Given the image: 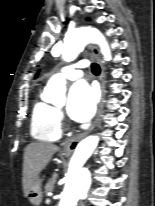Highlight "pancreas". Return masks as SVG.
I'll use <instances>...</instances> for the list:
<instances>
[{"mask_svg": "<svg viewBox=\"0 0 155 206\" xmlns=\"http://www.w3.org/2000/svg\"><path fill=\"white\" fill-rule=\"evenodd\" d=\"M55 182H56V176L51 177L46 183L45 191L46 192L52 191L54 189Z\"/></svg>", "mask_w": 155, "mask_h": 206, "instance_id": "pancreas-1", "label": "pancreas"}]
</instances>
